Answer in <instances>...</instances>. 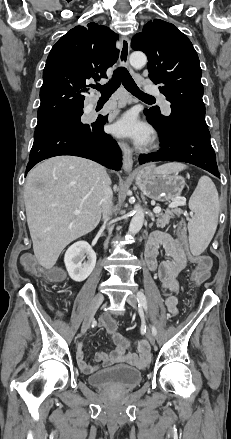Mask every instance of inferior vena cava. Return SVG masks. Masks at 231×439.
I'll return each mask as SVG.
<instances>
[{"label": "inferior vena cava", "mask_w": 231, "mask_h": 439, "mask_svg": "<svg viewBox=\"0 0 231 439\" xmlns=\"http://www.w3.org/2000/svg\"><path fill=\"white\" fill-rule=\"evenodd\" d=\"M110 184H111V180L108 176H106L102 182V199H101V211L106 222H108L110 220V217L112 216L113 193ZM113 228L114 225L112 223H109L108 226L109 233L112 232ZM107 245L108 244L106 243L104 247L107 248Z\"/></svg>", "instance_id": "602c4592"}]
</instances>
